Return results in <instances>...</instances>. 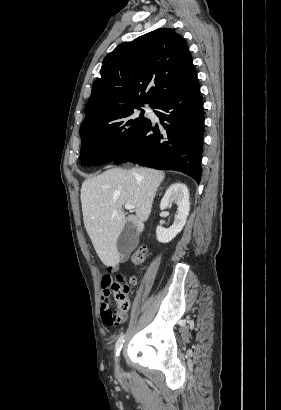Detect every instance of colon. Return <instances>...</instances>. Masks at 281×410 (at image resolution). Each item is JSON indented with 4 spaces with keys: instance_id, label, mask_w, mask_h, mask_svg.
Returning a JSON list of instances; mask_svg holds the SVG:
<instances>
[{
    "instance_id": "obj_1",
    "label": "colon",
    "mask_w": 281,
    "mask_h": 410,
    "mask_svg": "<svg viewBox=\"0 0 281 410\" xmlns=\"http://www.w3.org/2000/svg\"><path fill=\"white\" fill-rule=\"evenodd\" d=\"M148 255V248L146 245H140L132 255V261L135 265L142 264ZM135 284V279L130 278L128 281L122 276H116L111 285V292L113 294L117 310L109 308L103 316L104 322L109 326L118 325L121 321V313L126 312L130 308L129 293L131 286Z\"/></svg>"
}]
</instances>
